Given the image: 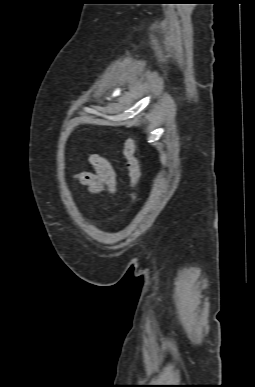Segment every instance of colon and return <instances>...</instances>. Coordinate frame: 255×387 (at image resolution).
Instances as JSON below:
<instances>
[{
    "mask_svg": "<svg viewBox=\"0 0 255 387\" xmlns=\"http://www.w3.org/2000/svg\"><path fill=\"white\" fill-rule=\"evenodd\" d=\"M124 157L126 159V168L129 176L130 196L134 199V189L139 183L141 177V169L138 157L136 155V144L131 138H128L124 143Z\"/></svg>",
    "mask_w": 255,
    "mask_h": 387,
    "instance_id": "1",
    "label": "colon"
}]
</instances>
